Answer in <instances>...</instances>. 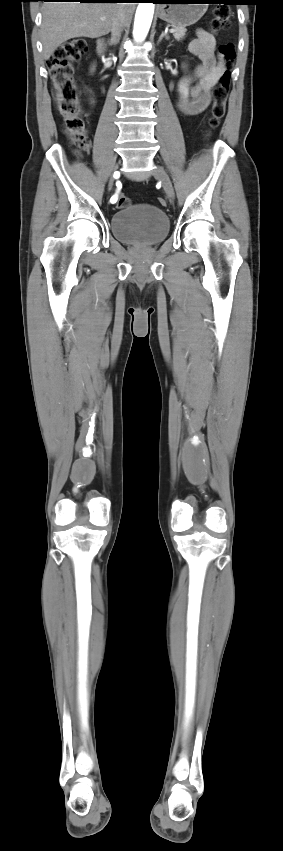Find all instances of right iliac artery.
I'll list each match as a JSON object with an SVG mask.
<instances>
[{
    "label": "right iliac artery",
    "instance_id": "obj_1",
    "mask_svg": "<svg viewBox=\"0 0 283 851\" xmlns=\"http://www.w3.org/2000/svg\"><path fill=\"white\" fill-rule=\"evenodd\" d=\"M117 187H118L119 190H123V185H122L121 181H117ZM116 200H117V197L115 195L113 197H111V199H110L111 203H115Z\"/></svg>",
    "mask_w": 283,
    "mask_h": 851
}]
</instances>
